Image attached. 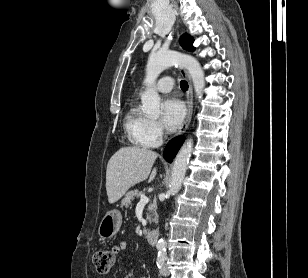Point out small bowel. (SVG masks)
<instances>
[{"mask_svg":"<svg viewBox=\"0 0 308 278\" xmlns=\"http://www.w3.org/2000/svg\"><path fill=\"white\" fill-rule=\"evenodd\" d=\"M127 248V243L124 241L119 242L118 244L114 245L111 248V251L113 252L114 255H118L122 252H124Z\"/></svg>","mask_w":308,"mask_h":278,"instance_id":"c3829d8e","label":"small bowel"}]
</instances>
